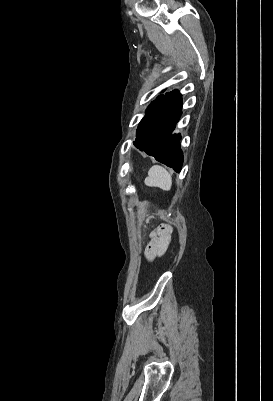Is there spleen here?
<instances>
[{"label": "spleen", "mask_w": 273, "mask_h": 401, "mask_svg": "<svg viewBox=\"0 0 273 401\" xmlns=\"http://www.w3.org/2000/svg\"><path fill=\"white\" fill-rule=\"evenodd\" d=\"M148 174L149 176H146L144 180L147 186H160L163 190H170L172 184L171 174H169L164 166L154 164Z\"/></svg>", "instance_id": "spleen-1"}]
</instances>
